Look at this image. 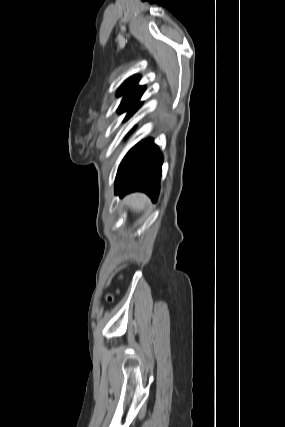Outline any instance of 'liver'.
Listing matches in <instances>:
<instances>
[{"label":"liver","instance_id":"obj_1","mask_svg":"<svg viewBox=\"0 0 285 427\" xmlns=\"http://www.w3.org/2000/svg\"><path fill=\"white\" fill-rule=\"evenodd\" d=\"M147 201V197L139 193L131 194L124 199V203L129 205L132 210L142 209Z\"/></svg>","mask_w":285,"mask_h":427}]
</instances>
